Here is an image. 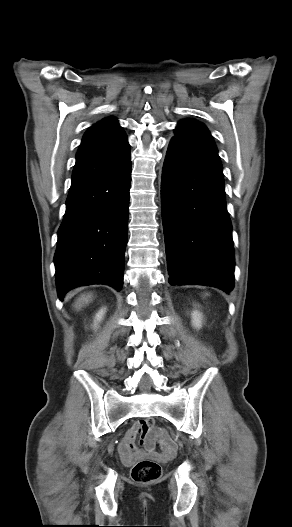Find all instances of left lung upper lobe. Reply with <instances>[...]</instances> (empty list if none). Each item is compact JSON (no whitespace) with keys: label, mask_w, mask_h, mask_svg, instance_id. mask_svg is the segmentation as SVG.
Wrapping results in <instances>:
<instances>
[{"label":"left lung upper lobe","mask_w":292,"mask_h":527,"mask_svg":"<svg viewBox=\"0 0 292 527\" xmlns=\"http://www.w3.org/2000/svg\"><path fill=\"white\" fill-rule=\"evenodd\" d=\"M176 136L171 141L182 142L194 147L217 153L211 134L204 124L195 120H182L175 129Z\"/></svg>","instance_id":"obj_1"}]
</instances>
